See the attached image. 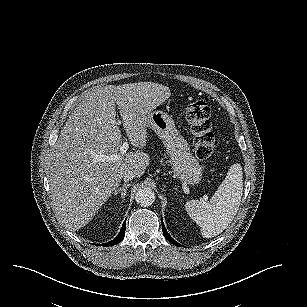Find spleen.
Masks as SVG:
<instances>
[{"instance_id": "obj_1", "label": "spleen", "mask_w": 307, "mask_h": 307, "mask_svg": "<svg viewBox=\"0 0 307 307\" xmlns=\"http://www.w3.org/2000/svg\"><path fill=\"white\" fill-rule=\"evenodd\" d=\"M243 192V173L240 164L230 166L227 176L209 202L190 200L185 209L201 228L204 238L222 233L238 212Z\"/></svg>"}]
</instances>
